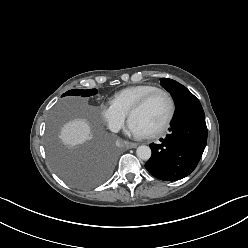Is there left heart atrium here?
I'll return each instance as SVG.
<instances>
[{"label": "left heart atrium", "mask_w": 248, "mask_h": 248, "mask_svg": "<svg viewBox=\"0 0 248 248\" xmlns=\"http://www.w3.org/2000/svg\"><path fill=\"white\" fill-rule=\"evenodd\" d=\"M127 132L135 137H143L146 135V132L131 119L128 123Z\"/></svg>", "instance_id": "obj_1"}]
</instances>
